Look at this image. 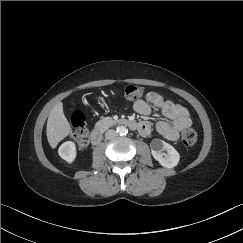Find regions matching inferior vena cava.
<instances>
[{"label": "inferior vena cava", "mask_w": 243, "mask_h": 243, "mask_svg": "<svg viewBox=\"0 0 243 243\" xmlns=\"http://www.w3.org/2000/svg\"><path fill=\"white\" fill-rule=\"evenodd\" d=\"M116 135H117L116 131L113 130V129H110V130H108V131L105 133V138H106L107 140H111V139L115 138Z\"/></svg>", "instance_id": "inferior-vena-cava-1"}]
</instances>
